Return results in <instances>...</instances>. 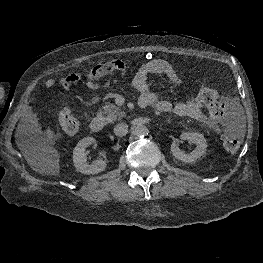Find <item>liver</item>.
Returning <instances> with one entry per match:
<instances>
[{
  "label": "liver",
  "instance_id": "liver-1",
  "mask_svg": "<svg viewBox=\"0 0 263 263\" xmlns=\"http://www.w3.org/2000/svg\"><path fill=\"white\" fill-rule=\"evenodd\" d=\"M27 160H28L29 163L31 162L29 158Z\"/></svg>",
  "mask_w": 263,
  "mask_h": 263
}]
</instances>
